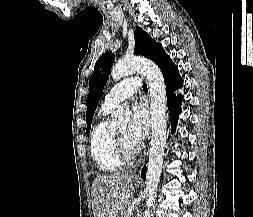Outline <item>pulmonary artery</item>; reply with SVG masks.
Instances as JSON below:
<instances>
[{
  "instance_id": "obj_1",
  "label": "pulmonary artery",
  "mask_w": 253,
  "mask_h": 217,
  "mask_svg": "<svg viewBox=\"0 0 253 217\" xmlns=\"http://www.w3.org/2000/svg\"><path fill=\"white\" fill-rule=\"evenodd\" d=\"M138 77H130L113 86L105 95L102 107L107 109L115 108L120 102L132 96L140 87Z\"/></svg>"
}]
</instances>
